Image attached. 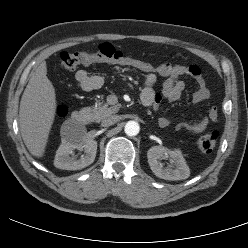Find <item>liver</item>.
I'll use <instances>...</instances> for the list:
<instances>
[{
  "instance_id": "liver-1",
  "label": "liver",
  "mask_w": 248,
  "mask_h": 248,
  "mask_svg": "<svg viewBox=\"0 0 248 248\" xmlns=\"http://www.w3.org/2000/svg\"><path fill=\"white\" fill-rule=\"evenodd\" d=\"M46 75L43 61L32 73L19 109L21 136L29 152L38 158L45 152L56 111L55 89Z\"/></svg>"
}]
</instances>
